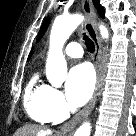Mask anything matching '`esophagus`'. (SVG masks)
I'll use <instances>...</instances> for the list:
<instances>
[{
  "mask_svg": "<svg viewBox=\"0 0 136 136\" xmlns=\"http://www.w3.org/2000/svg\"><path fill=\"white\" fill-rule=\"evenodd\" d=\"M82 9L86 16L85 30L95 45V53L93 60L97 74L96 87L93 96L88 102V104L80 112H78L75 117H73V119H71L62 127V131L64 132H70L84 117H86L92 111L97 100L102 76L101 43L95 28V12L92 5V1L82 0Z\"/></svg>",
  "mask_w": 136,
  "mask_h": 136,
  "instance_id": "34e87169",
  "label": "esophagus"
}]
</instances>
